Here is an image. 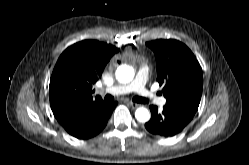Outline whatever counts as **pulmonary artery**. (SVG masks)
I'll return each mask as SVG.
<instances>
[{"label": "pulmonary artery", "instance_id": "pulmonary-artery-1", "mask_svg": "<svg viewBox=\"0 0 249 165\" xmlns=\"http://www.w3.org/2000/svg\"><path fill=\"white\" fill-rule=\"evenodd\" d=\"M149 72V67L147 65H142L132 82L115 85L110 87L108 91L115 94H129L137 92L148 102H155L159 105H164L166 103V99L163 97H157L155 93L147 87Z\"/></svg>", "mask_w": 249, "mask_h": 165}]
</instances>
